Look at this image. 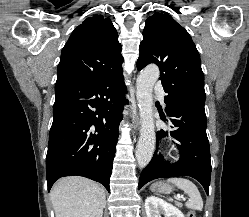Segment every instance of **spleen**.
I'll list each match as a JSON object with an SVG mask.
<instances>
[{
    "label": "spleen",
    "mask_w": 249,
    "mask_h": 217,
    "mask_svg": "<svg viewBox=\"0 0 249 217\" xmlns=\"http://www.w3.org/2000/svg\"><path fill=\"white\" fill-rule=\"evenodd\" d=\"M169 182L175 184L178 188L183 190L190 197L186 202V207L194 210H202L203 200L197 186L186 178H169Z\"/></svg>",
    "instance_id": "obj_1"
}]
</instances>
